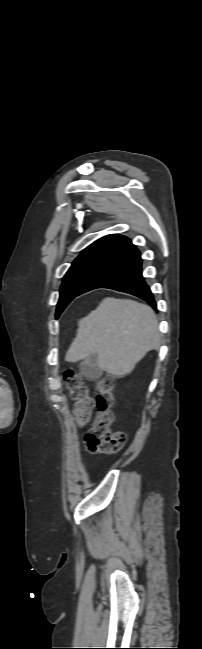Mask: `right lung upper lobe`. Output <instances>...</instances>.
Returning <instances> with one entry per match:
<instances>
[{
    "label": "right lung upper lobe",
    "mask_w": 202,
    "mask_h": 649,
    "mask_svg": "<svg viewBox=\"0 0 202 649\" xmlns=\"http://www.w3.org/2000/svg\"><path fill=\"white\" fill-rule=\"evenodd\" d=\"M134 247L135 246L132 244L129 238L119 234H111L104 236L89 245L82 251L80 255L91 253H105L118 256L133 249Z\"/></svg>",
    "instance_id": "cb5924a9"
}]
</instances>
